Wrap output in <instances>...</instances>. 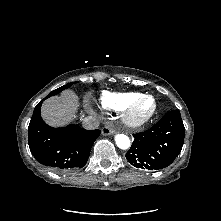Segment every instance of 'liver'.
<instances>
[{
  "label": "liver",
  "instance_id": "6515ba94",
  "mask_svg": "<svg viewBox=\"0 0 221 221\" xmlns=\"http://www.w3.org/2000/svg\"><path fill=\"white\" fill-rule=\"evenodd\" d=\"M78 99L71 90H65L61 96L51 97L44 102L41 115L44 121L53 127H63L76 117Z\"/></svg>",
  "mask_w": 221,
  "mask_h": 221
}]
</instances>
